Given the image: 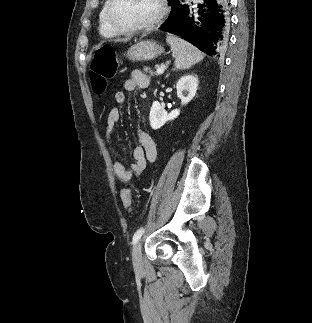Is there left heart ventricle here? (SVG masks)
Here are the masks:
<instances>
[{"instance_id":"left-heart-ventricle-1","label":"left heart ventricle","mask_w":312,"mask_h":323,"mask_svg":"<svg viewBox=\"0 0 312 323\" xmlns=\"http://www.w3.org/2000/svg\"><path fill=\"white\" fill-rule=\"evenodd\" d=\"M157 0H115L112 7V18L121 22H144L148 14H159Z\"/></svg>"}]
</instances>
